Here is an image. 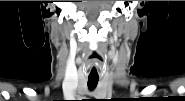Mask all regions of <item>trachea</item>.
<instances>
[{
	"mask_svg": "<svg viewBox=\"0 0 185 101\" xmlns=\"http://www.w3.org/2000/svg\"><path fill=\"white\" fill-rule=\"evenodd\" d=\"M99 81V75L96 67H92L88 76V88L93 90L96 88Z\"/></svg>",
	"mask_w": 185,
	"mask_h": 101,
	"instance_id": "3493384b",
	"label": "trachea"
}]
</instances>
